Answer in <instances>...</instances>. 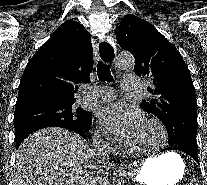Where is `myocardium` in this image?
I'll return each instance as SVG.
<instances>
[{
  "label": "myocardium",
  "mask_w": 207,
  "mask_h": 185,
  "mask_svg": "<svg viewBox=\"0 0 207 185\" xmlns=\"http://www.w3.org/2000/svg\"><path fill=\"white\" fill-rule=\"evenodd\" d=\"M145 121L150 123V124H153L154 126L157 127V129L159 130V133H160V135H161V137L164 141L168 140L167 129L159 119L148 117V118L145 119ZM124 147H125V149L128 153H130L132 155L139 156V157H149V156H152L155 153L153 150H145V151L136 150V149H134L130 146L127 139L124 140Z\"/></svg>",
  "instance_id": "obj_1"
}]
</instances>
